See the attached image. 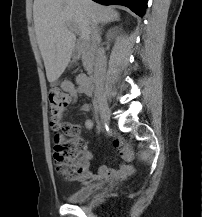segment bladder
Segmentation results:
<instances>
[{
    "label": "bladder",
    "instance_id": "31cf9c89",
    "mask_svg": "<svg viewBox=\"0 0 202 217\" xmlns=\"http://www.w3.org/2000/svg\"><path fill=\"white\" fill-rule=\"evenodd\" d=\"M92 183L85 184L67 196V200L71 203H81L87 200L94 192Z\"/></svg>",
    "mask_w": 202,
    "mask_h": 217
}]
</instances>
